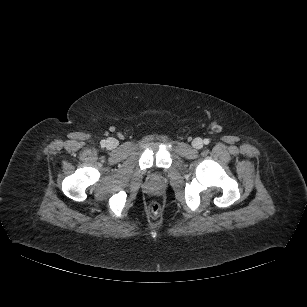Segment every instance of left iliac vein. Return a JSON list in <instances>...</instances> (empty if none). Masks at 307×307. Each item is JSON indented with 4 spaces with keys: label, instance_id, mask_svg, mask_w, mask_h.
<instances>
[{
    "label": "left iliac vein",
    "instance_id": "left-iliac-vein-1",
    "mask_svg": "<svg viewBox=\"0 0 307 307\" xmlns=\"http://www.w3.org/2000/svg\"><path fill=\"white\" fill-rule=\"evenodd\" d=\"M192 145L194 148L196 149H200L203 147V141L201 138H195L193 141H192Z\"/></svg>",
    "mask_w": 307,
    "mask_h": 307
}]
</instances>
